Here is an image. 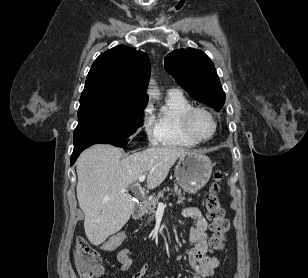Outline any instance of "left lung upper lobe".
I'll use <instances>...</instances> for the list:
<instances>
[{"instance_id":"obj_1","label":"left lung upper lobe","mask_w":308,"mask_h":278,"mask_svg":"<svg viewBox=\"0 0 308 278\" xmlns=\"http://www.w3.org/2000/svg\"><path fill=\"white\" fill-rule=\"evenodd\" d=\"M164 61L169 74L195 100L217 111L222 108L225 93L214 64L203 51L194 48L175 50Z\"/></svg>"}]
</instances>
